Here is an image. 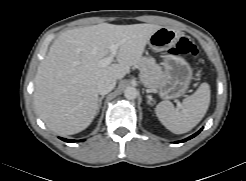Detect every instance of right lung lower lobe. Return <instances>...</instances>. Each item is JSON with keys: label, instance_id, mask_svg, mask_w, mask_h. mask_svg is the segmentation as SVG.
<instances>
[{"label": "right lung lower lobe", "instance_id": "1", "mask_svg": "<svg viewBox=\"0 0 246 181\" xmlns=\"http://www.w3.org/2000/svg\"><path fill=\"white\" fill-rule=\"evenodd\" d=\"M62 140L66 141V142H75V140H69V139H64V138H61ZM79 142L81 141H84V140H78Z\"/></svg>", "mask_w": 246, "mask_h": 181}]
</instances>
